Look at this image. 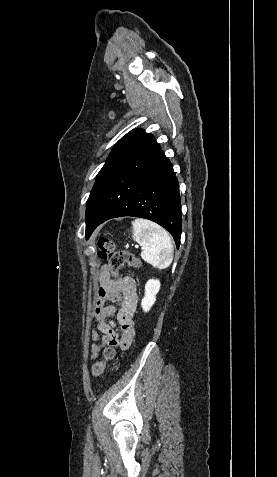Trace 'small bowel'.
Masks as SVG:
<instances>
[{"instance_id":"obj_1","label":"small bowel","mask_w":277,"mask_h":477,"mask_svg":"<svg viewBox=\"0 0 277 477\" xmlns=\"http://www.w3.org/2000/svg\"><path fill=\"white\" fill-rule=\"evenodd\" d=\"M99 283L94 302L97 330L90 332V337L94 341L90 346L92 360L98 358L107 345L128 347L135 335L133 318L138 302L135 280L131 277L112 278L109 268L103 266L99 274ZM108 302L118 303L119 309L117 310L113 304H107ZM115 313L117 321L111 319Z\"/></svg>"}]
</instances>
